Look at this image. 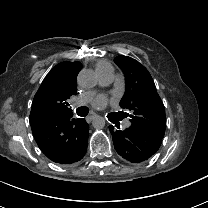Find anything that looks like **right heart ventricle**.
<instances>
[{"label":"right heart ventricle","mask_w":208,"mask_h":208,"mask_svg":"<svg viewBox=\"0 0 208 208\" xmlns=\"http://www.w3.org/2000/svg\"><path fill=\"white\" fill-rule=\"evenodd\" d=\"M113 68L111 64L105 60H101L96 65V71L99 75H102L108 71V69Z\"/></svg>","instance_id":"obj_1"}]
</instances>
